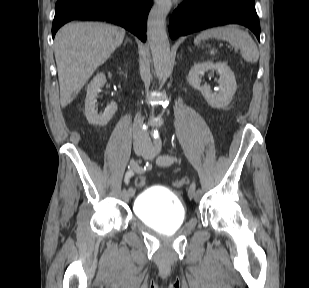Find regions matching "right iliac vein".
I'll return each mask as SVG.
<instances>
[{
    "instance_id": "1",
    "label": "right iliac vein",
    "mask_w": 309,
    "mask_h": 288,
    "mask_svg": "<svg viewBox=\"0 0 309 288\" xmlns=\"http://www.w3.org/2000/svg\"><path fill=\"white\" fill-rule=\"evenodd\" d=\"M134 151L137 155L146 156L148 154V150L142 146H135ZM134 193H129L128 191L124 194L125 199H129L132 197Z\"/></svg>"
}]
</instances>
